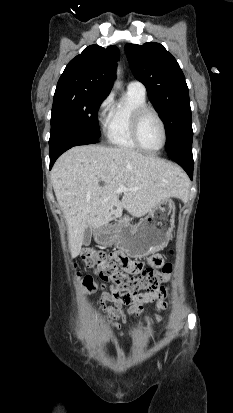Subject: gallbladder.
I'll list each match as a JSON object with an SVG mask.
<instances>
[{
	"label": "gallbladder",
	"mask_w": 233,
	"mask_h": 413,
	"mask_svg": "<svg viewBox=\"0 0 233 413\" xmlns=\"http://www.w3.org/2000/svg\"><path fill=\"white\" fill-rule=\"evenodd\" d=\"M91 237H92V231L91 228H86L85 232H84V236H83V244L85 246L90 245L91 243Z\"/></svg>",
	"instance_id": "obj_1"
}]
</instances>
